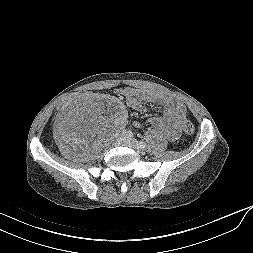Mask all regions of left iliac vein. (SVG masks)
<instances>
[{
	"mask_svg": "<svg viewBox=\"0 0 253 253\" xmlns=\"http://www.w3.org/2000/svg\"><path fill=\"white\" fill-rule=\"evenodd\" d=\"M123 145L132 148L133 150H135L138 153H142L143 152V149L140 147L139 142L136 139H134V138H128V137H126L125 140H124V142H123Z\"/></svg>",
	"mask_w": 253,
	"mask_h": 253,
	"instance_id": "obj_1",
	"label": "left iliac vein"
}]
</instances>
